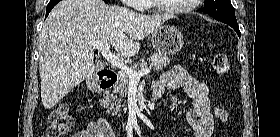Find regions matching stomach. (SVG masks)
Here are the masks:
<instances>
[{
  "label": "stomach",
  "mask_w": 280,
  "mask_h": 137,
  "mask_svg": "<svg viewBox=\"0 0 280 137\" xmlns=\"http://www.w3.org/2000/svg\"><path fill=\"white\" fill-rule=\"evenodd\" d=\"M151 43L160 55H173L181 50L184 44L182 33L171 25H162L151 34Z\"/></svg>",
  "instance_id": "0dacf381"
}]
</instances>
